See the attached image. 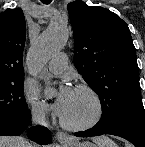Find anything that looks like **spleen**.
<instances>
[{"instance_id":"spleen-1","label":"spleen","mask_w":145,"mask_h":147,"mask_svg":"<svg viewBox=\"0 0 145 147\" xmlns=\"http://www.w3.org/2000/svg\"><path fill=\"white\" fill-rule=\"evenodd\" d=\"M99 147H118L111 139L107 137H103L100 143L98 144Z\"/></svg>"}]
</instances>
